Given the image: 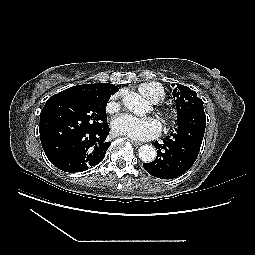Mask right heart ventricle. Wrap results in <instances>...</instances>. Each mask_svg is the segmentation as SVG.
<instances>
[{
	"mask_svg": "<svg viewBox=\"0 0 255 255\" xmlns=\"http://www.w3.org/2000/svg\"><path fill=\"white\" fill-rule=\"evenodd\" d=\"M139 93L151 103H159L165 99L164 89L155 83H144L138 87Z\"/></svg>",
	"mask_w": 255,
	"mask_h": 255,
	"instance_id": "obj_1",
	"label": "right heart ventricle"
}]
</instances>
